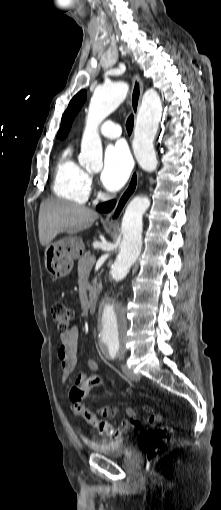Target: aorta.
<instances>
[{"mask_svg": "<svg viewBox=\"0 0 221 510\" xmlns=\"http://www.w3.org/2000/svg\"><path fill=\"white\" fill-rule=\"evenodd\" d=\"M129 86L126 82L108 83L95 89L86 118V128L81 142L80 163L97 170L102 165V144L97 132L99 124L124 101ZM162 116V104L158 93L148 89L138 111L133 148L140 167L153 172L157 167L154 138ZM150 206L146 196H136L128 204L121 224L123 238L120 252L110 271L108 280H123L140 255L142 248L143 214ZM98 334L100 346L105 350L119 349L124 344L126 320L120 304L110 296L99 302Z\"/></svg>", "mask_w": 221, "mask_h": 510, "instance_id": "762f6f07", "label": "aorta"}]
</instances>
